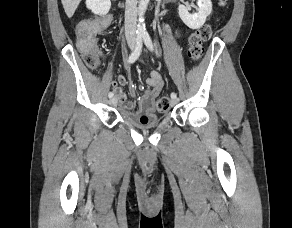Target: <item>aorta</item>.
Listing matches in <instances>:
<instances>
[{"instance_id": "obj_1", "label": "aorta", "mask_w": 292, "mask_h": 228, "mask_svg": "<svg viewBox=\"0 0 292 228\" xmlns=\"http://www.w3.org/2000/svg\"><path fill=\"white\" fill-rule=\"evenodd\" d=\"M149 0H139V7H138V15H139V24H138V31L145 32V24H144V14L148 7Z\"/></svg>"}]
</instances>
